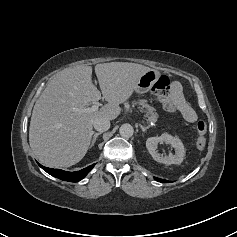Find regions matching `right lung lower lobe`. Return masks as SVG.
I'll list each match as a JSON object with an SVG mask.
<instances>
[{"instance_id": "right-lung-lower-lobe-1", "label": "right lung lower lobe", "mask_w": 237, "mask_h": 237, "mask_svg": "<svg viewBox=\"0 0 237 237\" xmlns=\"http://www.w3.org/2000/svg\"><path fill=\"white\" fill-rule=\"evenodd\" d=\"M38 165L44 171H46L47 173H49L50 175H52L56 178H59L64 181H69V182H78L81 179H83L91 171V169L94 167L95 164L90 165L80 171H75V172H67V171H63L60 169L47 168V167L40 165L39 163H38Z\"/></svg>"}]
</instances>
